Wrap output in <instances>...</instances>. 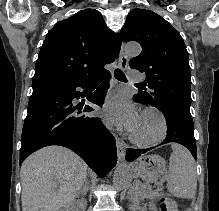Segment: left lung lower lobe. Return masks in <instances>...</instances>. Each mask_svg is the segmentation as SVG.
I'll use <instances>...</instances> for the list:
<instances>
[{
    "label": "left lung lower lobe",
    "mask_w": 219,
    "mask_h": 211,
    "mask_svg": "<svg viewBox=\"0 0 219 211\" xmlns=\"http://www.w3.org/2000/svg\"><path fill=\"white\" fill-rule=\"evenodd\" d=\"M134 101L142 103L135 95L133 96ZM167 123V136L161 144L175 142L184 145L189 149L193 157L197 158V148L194 138V127L192 118H188L182 115L171 114L165 116ZM127 149L126 160L133 161L141 154L153 149Z\"/></svg>",
    "instance_id": "obj_1"
}]
</instances>
